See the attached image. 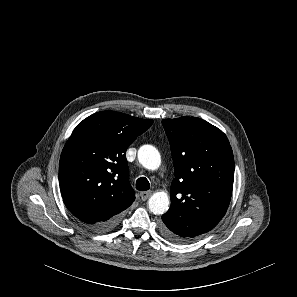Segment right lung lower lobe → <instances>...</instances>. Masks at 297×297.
Instances as JSON below:
<instances>
[{
    "label": "right lung lower lobe",
    "mask_w": 297,
    "mask_h": 297,
    "mask_svg": "<svg viewBox=\"0 0 297 297\" xmlns=\"http://www.w3.org/2000/svg\"><path fill=\"white\" fill-rule=\"evenodd\" d=\"M120 219H121V214H118L105 222L90 225L88 226V228L95 232H106L114 229L119 224Z\"/></svg>",
    "instance_id": "obj_1"
}]
</instances>
